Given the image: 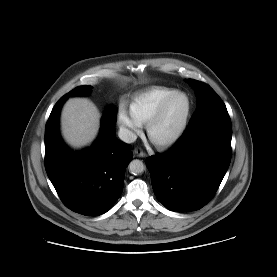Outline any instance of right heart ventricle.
I'll return each mask as SVG.
<instances>
[{"mask_svg": "<svg viewBox=\"0 0 277 277\" xmlns=\"http://www.w3.org/2000/svg\"><path fill=\"white\" fill-rule=\"evenodd\" d=\"M175 91L171 87L153 86L137 93L129 104L131 116L141 125L146 124L158 105Z\"/></svg>", "mask_w": 277, "mask_h": 277, "instance_id": "obj_1", "label": "right heart ventricle"}]
</instances>
